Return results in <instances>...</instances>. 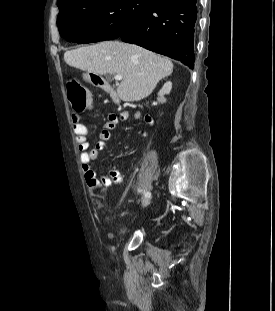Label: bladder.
Masks as SVG:
<instances>
[{
  "label": "bladder",
  "mask_w": 275,
  "mask_h": 311,
  "mask_svg": "<svg viewBox=\"0 0 275 311\" xmlns=\"http://www.w3.org/2000/svg\"><path fill=\"white\" fill-rule=\"evenodd\" d=\"M127 233V230L124 227H120L115 231L117 237L124 236Z\"/></svg>",
  "instance_id": "bladder-1"
}]
</instances>
